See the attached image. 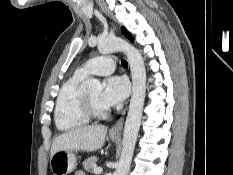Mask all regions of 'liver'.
<instances>
[{"label": "liver", "mask_w": 233, "mask_h": 175, "mask_svg": "<svg viewBox=\"0 0 233 175\" xmlns=\"http://www.w3.org/2000/svg\"><path fill=\"white\" fill-rule=\"evenodd\" d=\"M107 127L101 125L78 127L57 136L51 146V157L58 151H87L100 149L105 142Z\"/></svg>", "instance_id": "obj_1"}]
</instances>
